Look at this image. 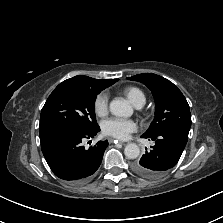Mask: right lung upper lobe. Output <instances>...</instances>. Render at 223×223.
<instances>
[{"instance_id":"right-lung-upper-lobe-1","label":"right lung upper lobe","mask_w":223,"mask_h":223,"mask_svg":"<svg viewBox=\"0 0 223 223\" xmlns=\"http://www.w3.org/2000/svg\"><path fill=\"white\" fill-rule=\"evenodd\" d=\"M117 81V79H94L88 76L78 75L73 78L67 79L62 83H76V84H85V85H99L105 86L106 88L111 86Z\"/></svg>"}]
</instances>
